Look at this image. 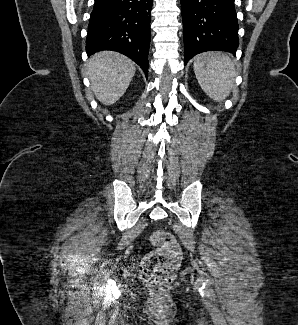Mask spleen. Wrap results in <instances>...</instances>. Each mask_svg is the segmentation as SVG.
Returning <instances> with one entry per match:
<instances>
[{"mask_svg":"<svg viewBox=\"0 0 298 325\" xmlns=\"http://www.w3.org/2000/svg\"><path fill=\"white\" fill-rule=\"evenodd\" d=\"M193 66L202 90L213 100H225L236 74L232 58L225 52H202L194 56Z\"/></svg>","mask_w":298,"mask_h":325,"instance_id":"3e777b00","label":"spleen"}]
</instances>
